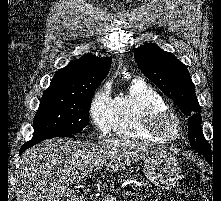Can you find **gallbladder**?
<instances>
[{
  "label": "gallbladder",
  "mask_w": 221,
  "mask_h": 201,
  "mask_svg": "<svg viewBox=\"0 0 221 201\" xmlns=\"http://www.w3.org/2000/svg\"><path fill=\"white\" fill-rule=\"evenodd\" d=\"M75 196V193L73 190H67L66 191V197L69 199V198H72Z\"/></svg>",
  "instance_id": "bac80fb5"
}]
</instances>
